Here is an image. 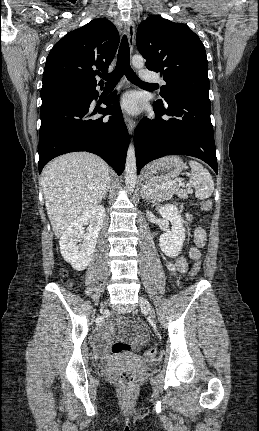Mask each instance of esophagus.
Wrapping results in <instances>:
<instances>
[{
	"label": "esophagus",
	"instance_id": "34e87169",
	"mask_svg": "<svg viewBox=\"0 0 259 431\" xmlns=\"http://www.w3.org/2000/svg\"><path fill=\"white\" fill-rule=\"evenodd\" d=\"M126 33H127L129 47H130V50L132 52L133 47H134V36H135V25H134V22L132 20H130L127 23ZM124 121H125V124L129 130V132L132 133L134 128H135V122L126 114L124 115Z\"/></svg>",
	"mask_w": 259,
	"mask_h": 431
}]
</instances>
